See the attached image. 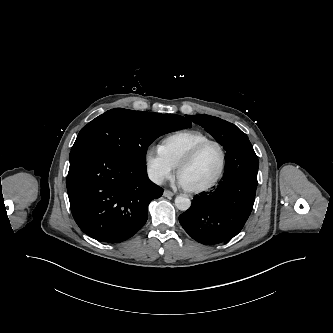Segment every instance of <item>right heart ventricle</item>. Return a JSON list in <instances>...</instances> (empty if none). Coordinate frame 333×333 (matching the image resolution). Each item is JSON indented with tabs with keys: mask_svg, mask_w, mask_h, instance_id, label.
I'll return each mask as SVG.
<instances>
[{
	"mask_svg": "<svg viewBox=\"0 0 333 333\" xmlns=\"http://www.w3.org/2000/svg\"><path fill=\"white\" fill-rule=\"evenodd\" d=\"M209 140L198 130H184L164 138L159 149L163 155L177 167L180 161L199 143Z\"/></svg>",
	"mask_w": 333,
	"mask_h": 333,
	"instance_id": "e07e8e85",
	"label": "right heart ventricle"
}]
</instances>
